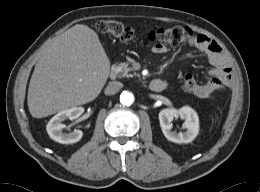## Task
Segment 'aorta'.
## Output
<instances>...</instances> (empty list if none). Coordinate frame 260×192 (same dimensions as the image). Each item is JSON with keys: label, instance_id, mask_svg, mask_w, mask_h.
I'll list each match as a JSON object with an SVG mask.
<instances>
[{"label": "aorta", "instance_id": "762f6f07", "mask_svg": "<svg viewBox=\"0 0 260 192\" xmlns=\"http://www.w3.org/2000/svg\"><path fill=\"white\" fill-rule=\"evenodd\" d=\"M120 102L125 106H130L134 102V95L129 91H123L120 95Z\"/></svg>", "mask_w": 260, "mask_h": 192}]
</instances>
